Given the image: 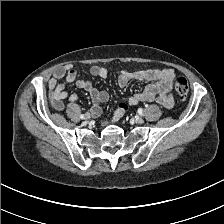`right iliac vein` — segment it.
<instances>
[{
  "instance_id": "obj_1",
  "label": "right iliac vein",
  "mask_w": 224,
  "mask_h": 224,
  "mask_svg": "<svg viewBox=\"0 0 224 224\" xmlns=\"http://www.w3.org/2000/svg\"><path fill=\"white\" fill-rule=\"evenodd\" d=\"M84 119L89 120V119H90V114L87 113V114L85 115V118H84Z\"/></svg>"
}]
</instances>
